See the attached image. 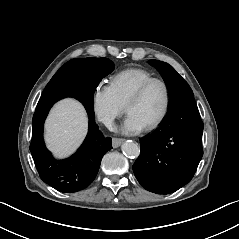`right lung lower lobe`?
I'll return each mask as SVG.
<instances>
[{
  "mask_svg": "<svg viewBox=\"0 0 239 239\" xmlns=\"http://www.w3.org/2000/svg\"><path fill=\"white\" fill-rule=\"evenodd\" d=\"M79 76L81 87L40 98L32 120L30 151L40 178L64 193H73L88 187L98 173L103 155L112 149L111 138L104 137L94 121L93 95L105 76H101L94 68L82 72ZM65 97H74L83 103L89 116V131L84 143L72 157L56 160L45 147L43 126L52 105Z\"/></svg>",
  "mask_w": 239,
  "mask_h": 239,
  "instance_id": "obj_1",
  "label": "right lung lower lobe"
}]
</instances>
